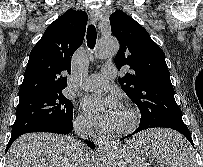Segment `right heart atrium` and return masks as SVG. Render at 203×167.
<instances>
[{
  "label": "right heart atrium",
  "mask_w": 203,
  "mask_h": 167,
  "mask_svg": "<svg viewBox=\"0 0 203 167\" xmlns=\"http://www.w3.org/2000/svg\"><path fill=\"white\" fill-rule=\"evenodd\" d=\"M75 126L80 130H89L91 123L85 115L79 114L75 119Z\"/></svg>",
  "instance_id": "obj_1"
}]
</instances>
